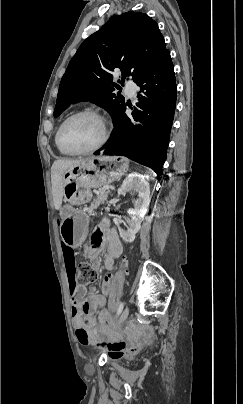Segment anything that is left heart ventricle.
<instances>
[{"mask_svg":"<svg viewBox=\"0 0 243 404\" xmlns=\"http://www.w3.org/2000/svg\"><path fill=\"white\" fill-rule=\"evenodd\" d=\"M103 135V123L92 115H81L72 119L63 130L66 143L80 148L97 144Z\"/></svg>","mask_w":243,"mask_h":404,"instance_id":"left-heart-ventricle-1","label":"left heart ventricle"}]
</instances>
